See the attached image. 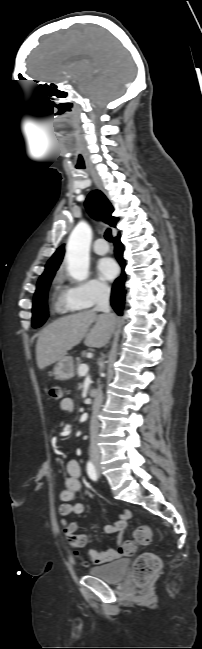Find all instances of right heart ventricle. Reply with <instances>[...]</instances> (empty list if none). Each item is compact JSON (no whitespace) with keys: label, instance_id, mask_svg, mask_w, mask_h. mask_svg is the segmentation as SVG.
Returning a JSON list of instances; mask_svg holds the SVG:
<instances>
[{"label":"right heart ventricle","instance_id":"e07e8e85","mask_svg":"<svg viewBox=\"0 0 202 649\" xmlns=\"http://www.w3.org/2000/svg\"><path fill=\"white\" fill-rule=\"evenodd\" d=\"M66 290L67 288L64 286L63 277L61 275L57 276L54 283L52 295L54 308L57 311L69 312L73 310L72 308H69L64 301Z\"/></svg>","mask_w":202,"mask_h":649}]
</instances>
